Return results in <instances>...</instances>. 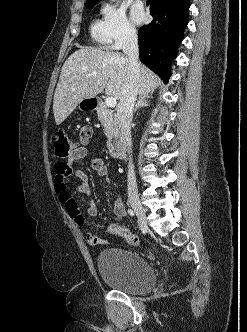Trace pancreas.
<instances>
[{
  "label": "pancreas",
  "mask_w": 247,
  "mask_h": 332,
  "mask_svg": "<svg viewBox=\"0 0 247 332\" xmlns=\"http://www.w3.org/2000/svg\"><path fill=\"white\" fill-rule=\"evenodd\" d=\"M98 119L104 127L105 135L108 138H112L117 133L116 120L111 115L110 111L106 107H100L97 110Z\"/></svg>",
  "instance_id": "obj_1"
}]
</instances>
